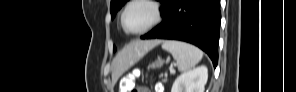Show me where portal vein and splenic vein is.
<instances>
[{"label": "portal vein and splenic vein", "mask_w": 296, "mask_h": 92, "mask_svg": "<svg viewBox=\"0 0 296 92\" xmlns=\"http://www.w3.org/2000/svg\"><path fill=\"white\" fill-rule=\"evenodd\" d=\"M170 73H175V69L173 67L170 68Z\"/></svg>", "instance_id": "obj_1"}]
</instances>
